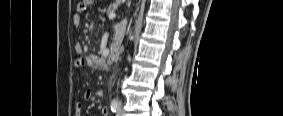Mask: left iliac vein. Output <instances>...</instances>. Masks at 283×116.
<instances>
[{
    "label": "left iliac vein",
    "mask_w": 283,
    "mask_h": 116,
    "mask_svg": "<svg viewBox=\"0 0 283 116\" xmlns=\"http://www.w3.org/2000/svg\"><path fill=\"white\" fill-rule=\"evenodd\" d=\"M121 114H122V110H121V108L119 107V108H118V112H117V116H121Z\"/></svg>",
    "instance_id": "left-iliac-vein-1"
}]
</instances>
